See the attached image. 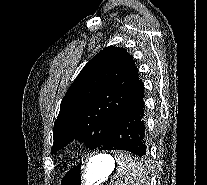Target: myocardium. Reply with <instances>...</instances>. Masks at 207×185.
Masks as SVG:
<instances>
[{
	"instance_id": "obj_1",
	"label": "myocardium",
	"mask_w": 207,
	"mask_h": 185,
	"mask_svg": "<svg viewBox=\"0 0 207 185\" xmlns=\"http://www.w3.org/2000/svg\"><path fill=\"white\" fill-rule=\"evenodd\" d=\"M78 146H79L78 142L73 143L72 145H70L69 151L70 152L74 151L76 148H78Z\"/></svg>"
}]
</instances>
